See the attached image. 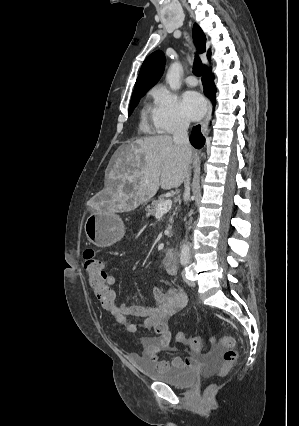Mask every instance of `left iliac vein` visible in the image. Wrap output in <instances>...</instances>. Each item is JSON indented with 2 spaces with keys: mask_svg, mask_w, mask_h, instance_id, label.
<instances>
[{
  "mask_svg": "<svg viewBox=\"0 0 299 426\" xmlns=\"http://www.w3.org/2000/svg\"><path fill=\"white\" fill-rule=\"evenodd\" d=\"M190 268V267H189ZM190 273L186 270V272H184V281L191 287L195 286V281L192 278H189Z\"/></svg>",
  "mask_w": 299,
  "mask_h": 426,
  "instance_id": "4c4485c4",
  "label": "left iliac vein"
}]
</instances>
